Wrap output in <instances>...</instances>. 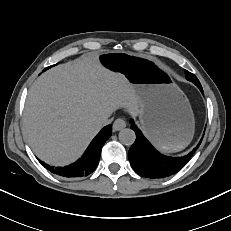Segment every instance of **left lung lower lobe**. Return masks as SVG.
I'll use <instances>...</instances> for the list:
<instances>
[{"label":"left lung lower lobe","mask_w":231,"mask_h":231,"mask_svg":"<svg viewBox=\"0 0 231 231\" xmlns=\"http://www.w3.org/2000/svg\"><path fill=\"white\" fill-rule=\"evenodd\" d=\"M203 92L202 87L199 88ZM131 128L136 133V140L128 152V158L134 171L142 177L165 178L180 171L189 161L200 143L183 157H169L160 154L131 120Z\"/></svg>","instance_id":"1"}]
</instances>
